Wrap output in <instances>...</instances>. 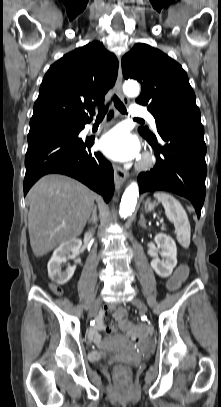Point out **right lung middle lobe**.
<instances>
[{
	"mask_svg": "<svg viewBox=\"0 0 221 407\" xmlns=\"http://www.w3.org/2000/svg\"><path fill=\"white\" fill-rule=\"evenodd\" d=\"M80 129H81L80 124H65V123L50 124V125L30 128L28 136L38 134V133L58 132V131H68V132H73V133H79Z\"/></svg>",
	"mask_w": 221,
	"mask_h": 407,
	"instance_id": "dd1d6c3e",
	"label": "right lung middle lobe"
}]
</instances>
